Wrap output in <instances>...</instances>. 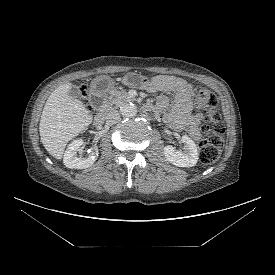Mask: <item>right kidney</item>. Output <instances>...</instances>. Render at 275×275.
Instances as JSON below:
<instances>
[{
	"instance_id": "ca27d5eb",
	"label": "right kidney",
	"mask_w": 275,
	"mask_h": 275,
	"mask_svg": "<svg viewBox=\"0 0 275 275\" xmlns=\"http://www.w3.org/2000/svg\"><path fill=\"white\" fill-rule=\"evenodd\" d=\"M82 139L74 140L64 153L63 163L66 167L71 169H85L92 165L98 156V149L95 148L91 151L87 158L77 156L79 148L83 145Z\"/></svg>"
}]
</instances>
